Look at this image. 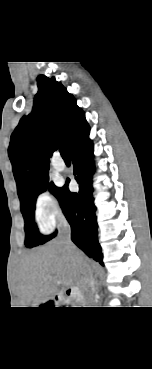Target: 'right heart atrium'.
Returning a JSON list of instances; mask_svg holds the SVG:
<instances>
[{"label": "right heart atrium", "mask_w": 152, "mask_h": 369, "mask_svg": "<svg viewBox=\"0 0 152 369\" xmlns=\"http://www.w3.org/2000/svg\"><path fill=\"white\" fill-rule=\"evenodd\" d=\"M62 216V208L57 197L49 190H43L36 196L34 218L43 232L51 231Z\"/></svg>", "instance_id": "right-heart-atrium-1"}]
</instances>
